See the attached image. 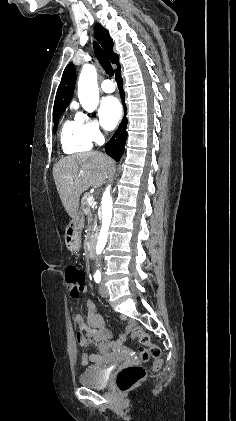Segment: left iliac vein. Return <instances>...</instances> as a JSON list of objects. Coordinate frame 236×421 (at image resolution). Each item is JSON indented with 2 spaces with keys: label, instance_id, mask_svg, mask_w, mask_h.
Returning <instances> with one entry per match:
<instances>
[{
  "label": "left iliac vein",
  "instance_id": "left-iliac-vein-1",
  "mask_svg": "<svg viewBox=\"0 0 236 421\" xmlns=\"http://www.w3.org/2000/svg\"><path fill=\"white\" fill-rule=\"evenodd\" d=\"M99 292L101 294L102 297H107L108 296V290L105 287V280L103 279L102 284L99 288Z\"/></svg>",
  "mask_w": 236,
  "mask_h": 421
}]
</instances>
